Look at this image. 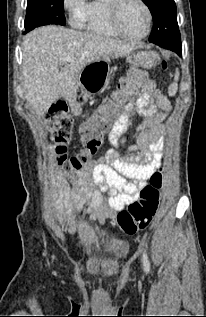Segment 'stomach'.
I'll return each instance as SVG.
<instances>
[{"instance_id":"1","label":"stomach","mask_w":206,"mask_h":317,"mask_svg":"<svg viewBox=\"0 0 206 317\" xmlns=\"http://www.w3.org/2000/svg\"><path fill=\"white\" fill-rule=\"evenodd\" d=\"M151 57L147 51H131L127 55V62L123 69L139 68L140 65H147L142 60ZM109 55H100L99 59H91L87 67L77 77L80 94H84L81 102L85 101L86 94H107L117 87V72L111 68Z\"/></svg>"}]
</instances>
